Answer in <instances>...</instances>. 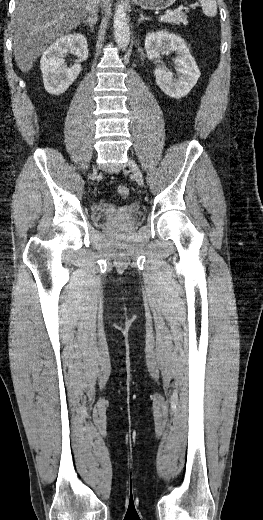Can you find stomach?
Listing matches in <instances>:
<instances>
[{
  "instance_id": "1",
  "label": "stomach",
  "mask_w": 263,
  "mask_h": 520,
  "mask_svg": "<svg viewBox=\"0 0 263 520\" xmlns=\"http://www.w3.org/2000/svg\"><path fill=\"white\" fill-rule=\"evenodd\" d=\"M132 2L143 9L162 10L173 5L176 0H132Z\"/></svg>"
}]
</instances>
